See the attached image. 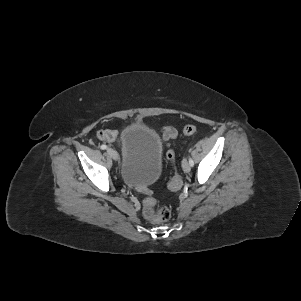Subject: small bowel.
I'll return each instance as SVG.
<instances>
[{
    "mask_svg": "<svg viewBox=\"0 0 301 301\" xmlns=\"http://www.w3.org/2000/svg\"><path fill=\"white\" fill-rule=\"evenodd\" d=\"M176 136H177V130L174 127L167 126L162 131V138L167 145H169L170 141L176 138Z\"/></svg>",
    "mask_w": 301,
    "mask_h": 301,
    "instance_id": "obj_1",
    "label": "small bowel"
}]
</instances>
